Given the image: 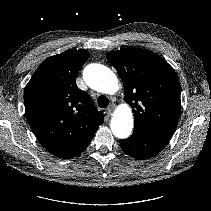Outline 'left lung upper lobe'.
<instances>
[{
  "label": "left lung upper lobe",
  "mask_w": 211,
  "mask_h": 211,
  "mask_svg": "<svg viewBox=\"0 0 211 211\" xmlns=\"http://www.w3.org/2000/svg\"><path fill=\"white\" fill-rule=\"evenodd\" d=\"M134 112V132L173 135L181 111L180 84L161 57L137 48L107 53Z\"/></svg>",
  "instance_id": "5c2ea615"
}]
</instances>
